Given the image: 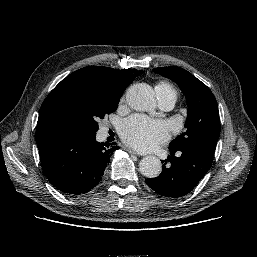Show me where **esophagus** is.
Segmentation results:
<instances>
[{"instance_id":"1","label":"esophagus","mask_w":257,"mask_h":257,"mask_svg":"<svg viewBox=\"0 0 257 257\" xmlns=\"http://www.w3.org/2000/svg\"><path fill=\"white\" fill-rule=\"evenodd\" d=\"M128 153L132 154V155H136V156H140L139 153H137L135 150L127 148L126 149Z\"/></svg>"}]
</instances>
